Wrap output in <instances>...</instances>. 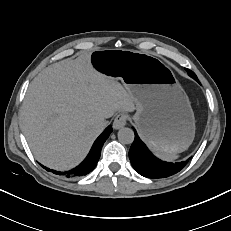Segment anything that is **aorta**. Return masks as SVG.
<instances>
[{
	"label": "aorta",
	"mask_w": 231,
	"mask_h": 231,
	"mask_svg": "<svg viewBox=\"0 0 231 231\" xmlns=\"http://www.w3.org/2000/svg\"><path fill=\"white\" fill-rule=\"evenodd\" d=\"M134 137V132L130 128L123 127L118 131V139L122 144H131Z\"/></svg>",
	"instance_id": "762f6f07"
}]
</instances>
